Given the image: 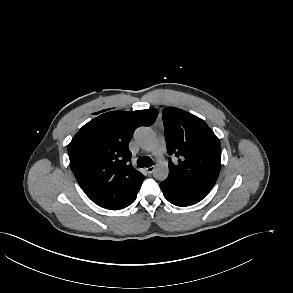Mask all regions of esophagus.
<instances>
[{
    "mask_svg": "<svg viewBox=\"0 0 293 293\" xmlns=\"http://www.w3.org/2000/svg\"><path fill=\"white\" fill-rule=\"evenodd\" d=\"M154 170H155V167H154V166H150V167H147V168H146V171H147L149 174L153 173Z\"/></svg>",
    "mask_w": 293,
    "mask_h": 293,
    "instance_id": "1",
    "label": "esophagus"
}]
</instances>
